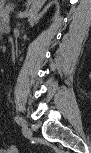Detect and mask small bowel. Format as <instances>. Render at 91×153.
Segmentation results:
<instances>
[{
    "instance_id": "c3829d8e",
    "label": "small bowel",
    "mask_w": 91,
    "mask_h": 153,
    "mask_svg": "<svg viewBox=\"0 0 91 153\" xmlns=\"http://www.w3.org/2000/svg\"><path fill=\"white\" fill-rule=\"evenodd\" d=\"M1 151L3 153H17V148L15 145H9L5 148H2Z\"/></svg>"
}]
</instances>
